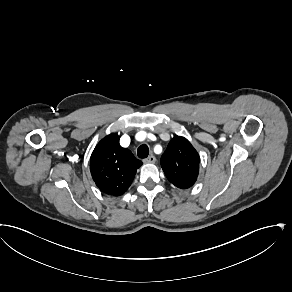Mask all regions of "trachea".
I'll use <instances>...</instances> for the list:
<instances>
[{"mask_svg": "<svg viewBox=\"0 0 292 292\" xmlns=\"http://www.w3.org/2000/svg\"><path fill=\"white\" fill-rule=\"evenodd\" d=\"M137 155L139 158H147L149 155V147L147 144H142L137 149Z\"/></svg>", "mask_w": 292, "mask_h": 292, "instance_id": "trachea-1", "label": "trachea"}]
</instances>
